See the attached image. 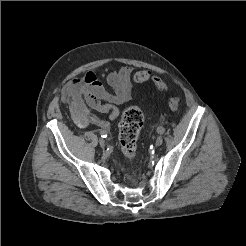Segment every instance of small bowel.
Segmentation results:
<instances>
[{
    "label": "small bowel",
    "instance_id": "obj_1",
    "mask_svg": "<svg viewBox=\"0 0 246 246\" xmlns=\"http://www.w3.org/2000/svg\"><path fill=\"white\" fill-rule=\"evenodd\" d=\"M131 74L130 67L110 72L106 79L112 91H107L93 72L72 80L66 86L62 98L69 104L76 125L81 128L96 125L108 130L111 121L120 114L119 106L132 99ZM92 111L108 114L109 121L100 119Z\"/></svg>",
    "mask_w": 246,
    "mask_h": 246
}]
</instances>
